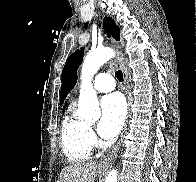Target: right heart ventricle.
I'll return each instance as SVG.
<instances>
[{
	"label": "right heart ventricle",
	"mask_w": 196,
	"mask_h": 182,
	"mask_svg": "<svg viewBox=\"0 0 196 182\" xmlns=\"http://www.w3.org/2000/svg\"><path fill=\"white\" fill-rule=\"evenodd\" d=\"M61 144L64 155L71 162H81L89 158L92 143L87 123L77 116L73 106H69L60 128Z\"/></svg>",
	"instance_id": "e07e8e85"
}]
</instances>
